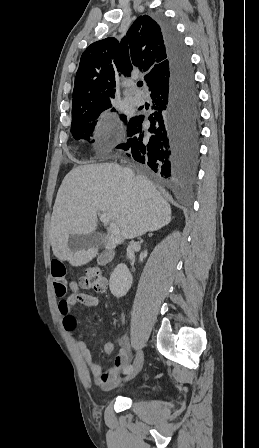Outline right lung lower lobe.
Wrapping results in <instances>:
<instances>
[{"instance_id": "right-lung-lower-lobe-1", "label": "right lung lower lobe", "mask_w": 259, "mask_h": 448, "mask_svg": "<svg viewBox=\"0 0 259 448\" xmlns=\"http://www.w3.org/2000/svg\"><path fill=\"white\" fill-rule=\"evenodd\" d=\"M170 65L167 89L151 95L153 112L143 129V115L127 125L129 139L117 146L129 151L136 161L147 164L172 184L188 186L194 182L198 163L199 100L189 53L175 27L158 18Z\"/></svg>"}]
</instances>
